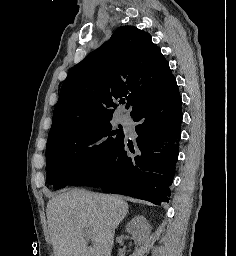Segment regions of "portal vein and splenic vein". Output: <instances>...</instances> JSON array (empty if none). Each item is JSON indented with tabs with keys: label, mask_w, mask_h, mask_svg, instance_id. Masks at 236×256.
Instances as JSON below:
<instances>
[{
	"label": "portal vein and splenic vein",
	"mask_w": 236,
	"mask_h": 256,
	"mask_svg": "<svg viewBox=\"0 0 236 256\" xmlns=\"http://www.w3.org/2000/svg\"><path fill=\"white\" fill-rule=\"evenodd\" d=\"M83 234H84V238H86V240H91L90 230H88V228H85Z\"/></svg>",
	"instance_id": "1"
}]
</instances>
